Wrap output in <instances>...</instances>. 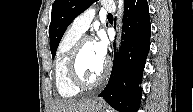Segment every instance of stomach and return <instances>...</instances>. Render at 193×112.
I'll return each instance as SVG.
<instances>
[{
    "label": "stomach",
    "mask_w": 193,
    "mask_h": 112,
    "mask_svg": "<svg viewBox=\"0 0 193 112\" xmlns=\"http://www.w3.org/2000/svg\"><path fill=\"white\" fill-rule=\"evenodd\" d=\"M91 112H104V106L102 102L95 100L92 105Z\"/></svg>",
    "instance_id": "0dacf381"
}]
</instances>
